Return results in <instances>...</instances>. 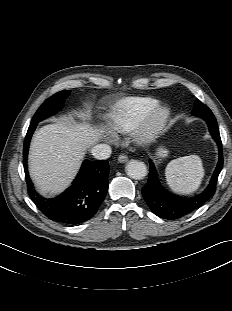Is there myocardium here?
Returning <instances> with one entry per match:
<instances>
[{"label": "myocardium", "instance_id": "myocardium-1", "mask_svg": "<svg viewBox=\"0 0 232 311\" xmlns=\"http://www.w3.org/2000/svg\"><path fill=\"white\" fill-rule=\"evenodd\" d=\"M170 109L166 106L157 105L151 109L134 127L133 138L139 144H147L163 130L168 118Z\"/></svg>", "mask_w": 232, "mask_h": 311}]
</instances>
